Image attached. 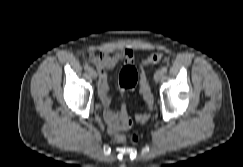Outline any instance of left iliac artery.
<instances>
[{"label": "left iliac artery", "instance_id": "1", "mask_svg": "<svg viewBox=\"0 0 243 167\" xmlns=\"http://www.w3.org/2000/svg\"><path fill=\"white\" fill-rule=\"evenodd\" d=\"M167 69H168V68H167L166 66H164V67H162L161 70L163 71V73H166V72H167Z\"/></svg>", "mask_w": 243, "mask_h": 167}]
</instances>
